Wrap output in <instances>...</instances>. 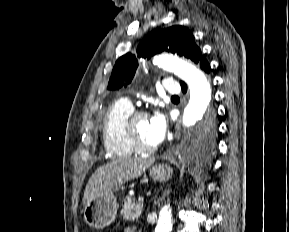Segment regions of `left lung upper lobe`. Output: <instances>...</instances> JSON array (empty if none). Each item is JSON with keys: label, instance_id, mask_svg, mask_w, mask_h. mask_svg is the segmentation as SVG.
I'll return each instance as SVG.
<instances>
[{"label": "left lung upper lobe", "instance_id": "left-lung-upper-lobe-1", "mask_svg": "<svg viewBox=\"0 0 289 232\" xmlns=\"http://www.w3.org/2000/svg\"><path fill=\"white\" fill-rule=\"evenodd\" d=\"M163 51L185 56L196 64H199L202 57L193 34L187 28L179 25L149 33L137 47V53L142 58H150ZM137 67L138 60L135 55L127 53L121 56L114 65L107 89L116 90L127 86L131 83ZM214 132V118L213 115H210L198 131L199 144L210 148L213 145Z\"/></svg>", "mask_w": 289, "mask_h": 232}]
</instances>
